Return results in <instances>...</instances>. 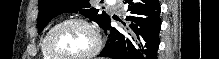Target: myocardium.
<instances>
[{
    "instance_id": "myocardium-1",
    "label": "myocardium",
    "mask_w": 219,
    "mask_h": 59,
    "mask_svg": "<svg viewBox=\"0 0 219 59\" xmlns=\"http://www.w3.org/2000/svg\"><path fill=\"white\" fill-rule=\"evenodd\" d=\"M68 24H80L90 32L94 40V45L88 52L79 56H62L54 50L52 46L53 35L58 29ZM45 49L54 59H91L99 53L101 49V39L96 30L86 20L79 17H70L59 21L48 30L45 36Z\"/></svg>"
}]
</instances>
